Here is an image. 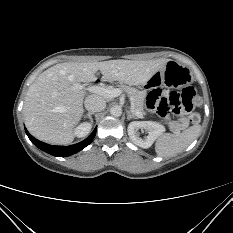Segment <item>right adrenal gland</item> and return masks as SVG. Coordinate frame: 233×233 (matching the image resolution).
<instances>
[{"mask_svg":"<svg viewBox=\"0 0 233 233\" xmlns=\"http://www.w3.org/2000/svg\"><path fill=\"white\" fill-rule=\"evenodd\" d=\"M93 114H95L94 112H88L86 115H85V117L86 118H89V120L92 122L93 120H92V115Z\"/></svg>","mask_w":233,"mask_h":233,"instance_id":"obj_1","label":"right adrenal gland"}]
</instances>
